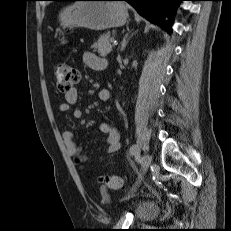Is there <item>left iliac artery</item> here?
Wrapping results in <instances>:
<instances>
[{"label": "left iliac artery", "mask_w": 231, "mask_h": 231, "mask_svg": "<svg viewBox=\"0 0 231 231\" xmlns=\"http://www.w3.org/2000/svg\"><path fill=\"white\" fill-rule=\"evenodd\" d=\"M140 146L138 144H134L130 147L129 154L130 155H139Z\"/></svg>", "instance_id": "left-iliac-artery-1"}]
</instances>
